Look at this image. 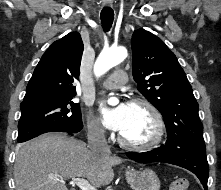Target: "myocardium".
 <instances>
[{"label": "myocardium", "mask_w": 221, "mask_h": 190, "mask_svg": "<svg viewBox=\"0 0 221 190\" xmlns=\"http://www.w3.org/2000/svg\"><path fill=\"white\" fill-rule=\"evenodd\" d=\"M130 105L144 107L151 114L153 120V131L151 137L144 142L130 141L119 133V143L129 149L137 151H145L157 147L162 141L165 133V121L160 110L151 101L141 97L132 99L130 101Z\"/></svg>", "instance_id": "obj_1"}]
</instances>
